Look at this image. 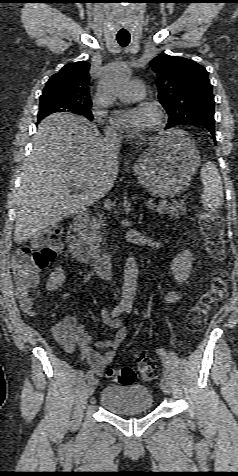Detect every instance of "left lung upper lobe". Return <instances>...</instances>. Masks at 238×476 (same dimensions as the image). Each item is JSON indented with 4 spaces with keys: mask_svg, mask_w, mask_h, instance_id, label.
I'll return each instance as SVG.
<instances>
[{
    "mask_svg": "<svg viewBox=\"0 0 238 476\" xmlns=\"http://www.w3.org/2000/svg\"><path fill=\"white\" fill-rule=\"evenodd\" d=\"M158 98L169 115L166 128L214 122V96L206 69L195 61L162 54L150 62Z\"/></svg>",
    "mask_w": 238,
    "mask_h": 476,
    "instance_id": "1",
    "label": "left lung upper lobe"
}]
</instances>
